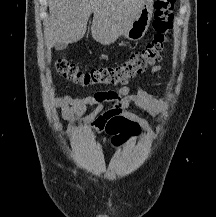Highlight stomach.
Segmentation results:
<instances>
[{"mask_svg":"<svg viewBox=\"0 0 216 217\" xmlns=\"http://www.w3.org/2000/svg\"><path fill=\"white\" fill-rule=\"evenodd\" d=\"M153 2L154 0H144L138 14L122 32V36L131 41H138L144 37L152 19Z\"/></svg>","mask_w":216,"mask_h":217,"instance_id":"stomach-1","label":"stomach"}]
</instances>
